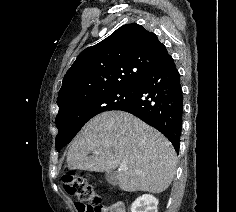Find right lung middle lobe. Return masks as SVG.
Instances as JSON below:
<instances>
[{"label":"right lung middle lobe","instance_id":"obj_1","mask_svg":"<svg viewBox=\"0 0 236 212\" xmlns=\"http://www.w3.org/2000/svg\"><path fill=\"white\" fill-rule=\"evenodd\" d=\"M137 85L124 86L93 94L74 101L61 109L56 116L58 134L55 146L59 152L79 132L83 125L95 115L119 107L133 99Z\"/></svg>","mask_w":236,"mask_h":212}]
</instances>
